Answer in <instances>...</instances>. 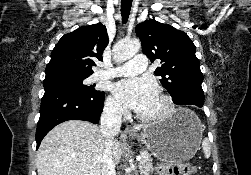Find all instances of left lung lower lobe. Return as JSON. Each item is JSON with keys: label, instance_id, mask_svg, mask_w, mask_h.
Returning a JSON list of instances; mask_svg holds the SVG:
<instances>
[{"label": "left lung lower lobe", "instance_id": "obj_1", "mask_svg": "<svg viewBox=\"0 0 251 175\" xmlns=\"http://www.w3.org/2000/svg\"><path fill=\"white\" fill-rule=\"evenodd\" d=\"M173 102L183 106V115L186 118L195 119L203 113L204 99L202 98L182 94L173 99Z\"/></svg>", "mask_w": 251, "mask_h": 175}]
</instances>
